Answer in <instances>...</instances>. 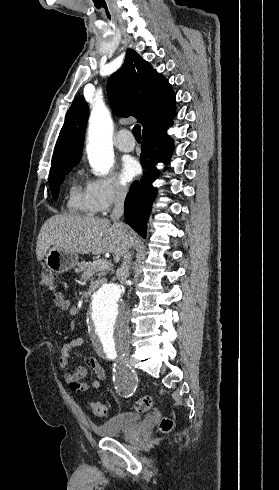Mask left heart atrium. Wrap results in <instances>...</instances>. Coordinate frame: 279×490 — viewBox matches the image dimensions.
<instances>
[{"instance_id":"left-heart-atrium-1","label":"left heart atrium","mask_w":279,"mask_h":490,"mask_svg":"<svg viewBox=\"0 0 279 490\" xmlns=\"http://www.w3.org/2000/svg\"><path fill=\"white\" fill-rule=\"evenodd\" d=\"M140 170L138 161L130 156L124 157L121 164V177L126 183L130 182Z\"/></svg>"}]
</instances>
